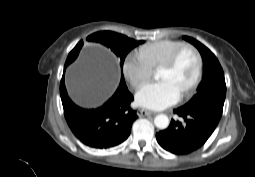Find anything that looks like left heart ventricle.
<instances>
[{"label":"left heart ventricle","instance_id":"left-heart-ventricle-1","mask_svg":"<svg viewBox=\"0 0 255 177\" xmlns=\"http://www.w3.org/2000/svg\"><path fill=\"white\" fill-rule=\"evenodd\" d=\"M197 71V58L191 50H186L177 65L172 69L160 68L158 77L171 81L182 93L194 80Z\"/></svg>","mask_w":255,"mask_h":177}]
</instances>
